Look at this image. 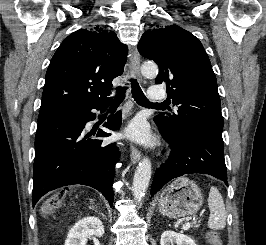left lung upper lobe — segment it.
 <instances>
[{"label": "left lung upper lobe", "mask_w": 266, "mask_h": 245, "mask_svg": "<svg viewBox=\"0 0 266 245\" xmlns=\"http://www.w3.org/2000/svg\"><path fill=\"white\" fill-rule=\"evenodd\" d=\"M138 50L159 65L156 84L166 83L169 98L178 106L172 115L155 116L161 127L174 136L188 125L222 132L217 80L197 37L177 25L147 30Z\"/></svg>", "instance_id": "left-lung-upper-lobe-1"}]
</instances>
